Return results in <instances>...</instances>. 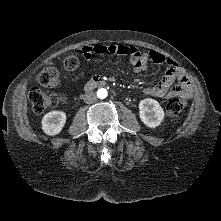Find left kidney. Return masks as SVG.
<instances>
[{"label":"left kidney","mask_w":221,"mask_h":221,"mask_svg":"<svg viewBox=\"0 0 221 221\" xmlns=\"http://www.w3.org/2000/svg\"><path fill=\"white\" fill-rule=\"evenodd\" d=\"M139 116L144 125L155 128L161 124L165 113L156 100L147 98L139 102Z\"/></svg>","instance_id":"1"}]
</instances>
